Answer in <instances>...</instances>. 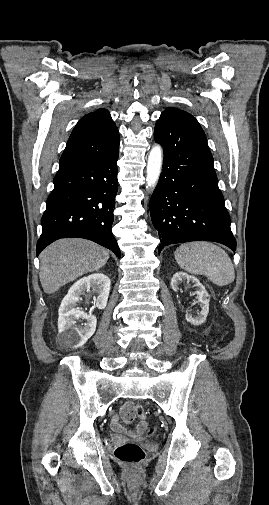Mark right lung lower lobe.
I'll list each match as a JSON object with an SVG mask.
<instances>
[{
  "mask_svg": "<svg viewBox=\"0 0 269 505\" xmlns=\"http://www.w3.org/2000/svg\"><path fill=\"white\" fill-rule=\"evenodd\" d=\"M119 144L100 156L61 168L42 216L36 254L60 238L92 240L113 251L120 249L111 232L118 190Z\"/></svg>",
  "mask_w": 269,
  "mask_h": 505,
  "instance_id": "right-lung-lower-lobe-1",
  "label": "right lung lower lobe"
}]
</instances>
